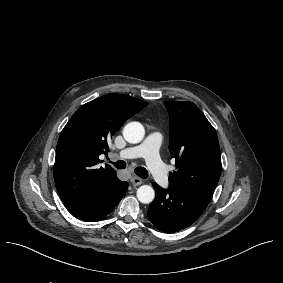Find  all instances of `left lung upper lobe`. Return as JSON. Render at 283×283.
I'll list each match as a JSON object with an SVG mask.
<instances>
[{"label": "left lung upper lobe", "mask_w": 283, "mask_h": 283, "mask_svg": "<svg viewBox=\"0 0 283 283\" xmlns=\"http://www.w3.org/2000/svg\"><path fill=\"white\" fill-rule=\"evenodd\" d=\"M164 105L170 116L169 151L176 165L169 174V187L208 203L221 174L216 131L194 103L166 101Z\"/></svg>", "instance_id": "1"}]
</instances>
